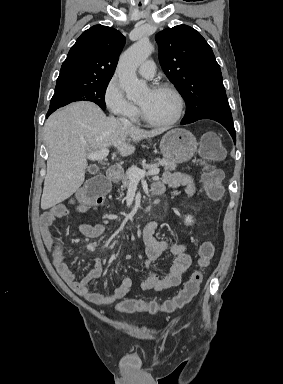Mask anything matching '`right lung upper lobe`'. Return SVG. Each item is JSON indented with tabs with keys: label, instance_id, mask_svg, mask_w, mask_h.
Listing matches in <instances>:
<instances>
[{
	"label": "right lung upper lobe",
	"instance_id": "obj_1",
	"mask_svg": "<svg viewBox=\"0 0 283 384\" xmlns=\"http://www.w3.org/2000/svg\"><path fill=\"white\" fill-rule=\"evenodd\" d=\"M125 37L116 29L95 25L77 39L63 62L57 85L110 81Z\"/></svg>",
	"mask_w": 283,
	"mask_h": 384
}]
</instances>
